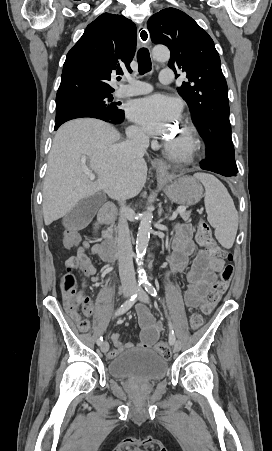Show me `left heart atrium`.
Instances as JSON below:
<instances>
[{
	"mask_svg": "<svg viewBox=\"0 0 272 451\" xmlns=\"http://www.w3.org/2000/svg\"><path fill=\"white\" fill-rule=\"evenodd\" d=\"M133 117L152 135H165L180 116L179 105L171 98L156 95L137 102Z\"/></svg>",
	"mask_w": 272,
	"mask_h": 451,
	"instance_id": "obj_1",
	"label": "left heart atrium"
}]
</instances>
